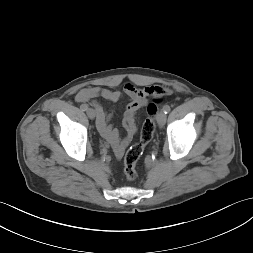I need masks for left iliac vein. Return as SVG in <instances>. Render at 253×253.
I'll use <instances>...</instances> for the list:
<instances>
[{"label":"left iliac vein","mask_w":253,"mask_h":253,"mask_svg":"<svg viewBox=\"0 0 253 253\" xmlns=\"http://www.w3.org/2000/svg\"><path fill=\"white\" fill-rule=\"evenodd\" d=\"M157 122L159 125H164L165 122H166V114L164 113V111H160L158 114H157Z\"/></svg>","instance_id":"obj_1"}]
</instances>
